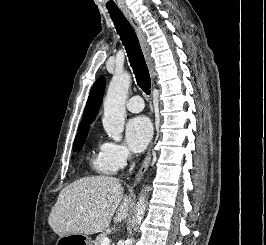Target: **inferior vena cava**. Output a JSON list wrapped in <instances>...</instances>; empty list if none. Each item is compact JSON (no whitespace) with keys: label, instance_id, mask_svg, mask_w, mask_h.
Segmentation results:
<instances>
[{"label":"inferior vena cava","instance_id":"602c4592","mask_svg":"<svg viewBox=\"0 0 266 245\" xmlns=\"http://www.w3.org/2000/svg\"><path fill=\"white\" fill-rule=\"evenodd\" d=\"M129 157H130V153H129ZM133 167H134V165H132V167H131L130 171H132Z\"/></svg>","mask_w":266,"mask_h":245}]
</instances>
